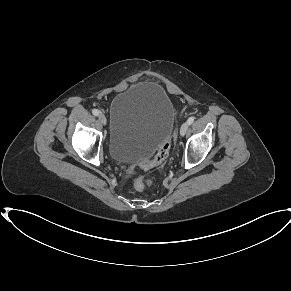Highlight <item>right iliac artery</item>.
Wrapping results in <instances>:
<instances>
[{
	"instance_id": "obj_1",
	"label": "right iliac artery",
	"mask_w": 291,
	"mask_h": 291,
	"mask_svg": "<svg viewBox=\"0 0 291 291\" xmlns=\"http://www.w3.org/2000/svg\"><path fill=\"white\" fill-rule=\"evenodd\" d=\"M92 113L93 115L98 116L100 112L97 109H93Z\"/></svg>"
}]
</instances>
